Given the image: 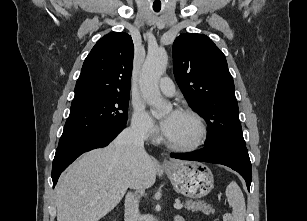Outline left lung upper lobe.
<instances>
[{"mask_svg":"<svg viewBox=\"0 0 307 221\" xmlns=\"http://www.w3.org/2000/svg\"><path fill=\"white\" fill-rule=\"evenodd\" d=\"M174 75L189 106L209 126L206 146L246 151L234 82L225 55L206 35L181 34L173 44Z\"/></svg>","mask_w":307,"mask_h":221,"instance_id":"left-lung-upper-lobe-1","label":"left lung upper lobe"}]
</instances>
